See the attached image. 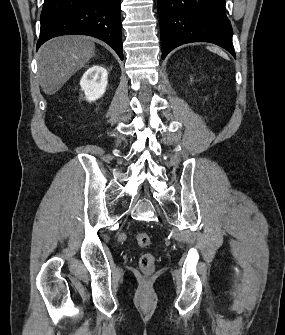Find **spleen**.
<instances>
[{
    "label": "spleen",
    "instance_id": "1",
    "mask_svg": "<svg viewBox=\"0 0 285 335\" xmlns=\"http://www.w3.org/2000/svg\"><path fill=\"white\" fill-rule=\"evenodd\" d=\"M207 50H210V52H214V54H218V56H222V58H225V60H229L227 54H225V52H222V50H220V48H207Z\"/></svg>",
    "mask_w": 285,
    "mask_h": 335
}]
</instances>
